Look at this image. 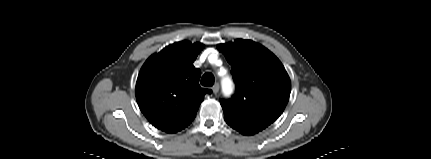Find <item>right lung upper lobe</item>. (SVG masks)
Instances as JSON below:
<instances>
[{"label":"right lung upper lobe","mask_w":431,"mask_h":159,"mask_svg":"<svg viewBox=\"0 0 431 159\" xmlns=\"http://www.w3.org/2000/svg\"><path fill=\"white\" fill-rule=\"evenodd\" d=\"M204 45L181 41L150 56L136 83V99L145 117L158 129L176 133L195 118L204 95L201 72L193 66Z\"/></svg>","instance_id":"1"}]
</instances>
